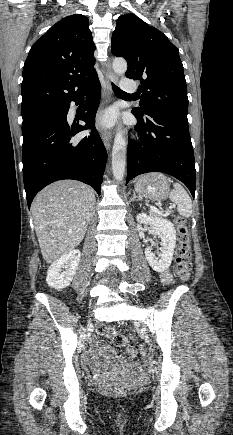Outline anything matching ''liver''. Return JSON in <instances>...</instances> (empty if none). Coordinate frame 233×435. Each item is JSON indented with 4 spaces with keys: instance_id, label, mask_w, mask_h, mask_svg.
<instances>
[{
    "instance_id": "6515ba94",
    "label": "liver",
    "mask_w": 233,
    "mask_h": 435,
    "mask_svg": "<svg viewBox=\"0 0 233 435\" xmlns=\"http://www.w3.org/2000/svg\"><path fill=\"white\" fill-rule=\"evenodd\" d=\"M94 209V191L75 180L54 182L36 195L31 210L47 263L55 262L80 244Z\"/></svg>"
}]
</instances>
